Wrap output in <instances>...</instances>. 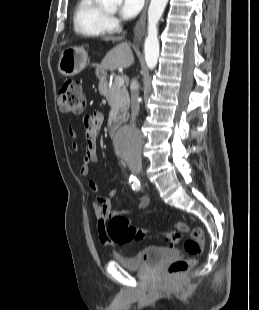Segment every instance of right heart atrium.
<instances>
[{"instance_id": "1", "label": "right heart atrium", "mask_w": 259, "mask_h": 310, "mask_svg": "<svg viewBox=\"0 0 259 310\" xmlns=\"http://www.w3.org/2000/svg\"><path fill=\"white\" fill-rule=\"evenodd\" d=\"M118 26V20L113 16V15H109L108 16V27L110 30H113L115 28H117Z\"/></svg>"}]
</instances>
